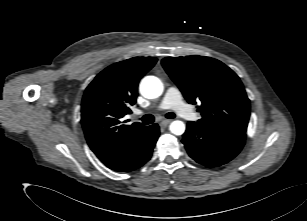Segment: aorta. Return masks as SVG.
I'll return each mask as SVG.
<instances>
[{"label": "aorta", "mask_w": 307, "mask_h": 221, "mask_svg": "<svg viewBox=\"0 0 307 221\" xmlns=\"http://www.w3.org/2000/svg\"><path fill=\"white\" fill-rule=\"evenodd\" d=\"M163 92V83L161 80L155 76H146L142 79L140 83V93L148 99H154L159 97ZM169 129L171 133L175 135H182L185 132V124L176 120L173 121Z\"/></svg>", "instance_id": "obj_1"}]
</instances>
